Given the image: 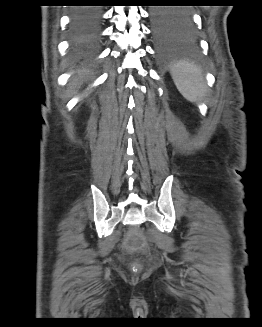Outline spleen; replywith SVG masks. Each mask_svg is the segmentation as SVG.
Returning a JSON list of instances; mask_svg holds the SVG:
<instances>
[{
	"label": "spleen",
	"instance_id": "1",
	"mask_svg": "<svg viewBox=\"0 0 262 327\" xmlns=\"http://www.w3.org/2000/svg\"><path fill=\"white\" fill-rule=\"evenodd\" d=\"M171 75L179 92L191 102L199 101L206 92L202 72L192 63H177Z\"/></svg>",
	"mask_w": 262,
	"mask_h": 327
}]
</instances>
